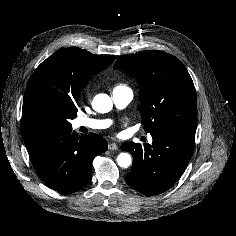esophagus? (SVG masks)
Listing matches in <instances>:
<instances>
[{
    "instance_id": "obj_1",
    "label": "esophagus",
    "mask_w": 236,
    "mask_h": 236,
    "mask_svg": "<svg viewBox=\"0 0 236 236\" xmlns=\"http://www.w3.org/2000/svg\"><path fill=\"white\" fill-rule=\"evenodd\" d=\"M108 149L111 150V151L118 150V145L116 143H113V142L109 143Z\"/></svg>"
}]
</instances>
